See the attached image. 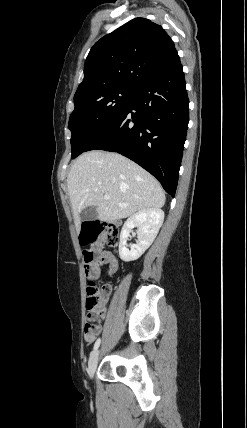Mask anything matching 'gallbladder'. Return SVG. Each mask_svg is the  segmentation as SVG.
Here are the masks:
<instances>
[{
  "label": "gallbladder",
  "mask_w": 247,
  "mask_h": 428,
  "mask_svg": "<svg viewBox=\"0 0 247 428\" xmlns=\"http://www.w3.org/2000/svg\"><path fill=\"white\" fill-rule=\"evenodd\" d=\"M97 217H98L97 209L94 206H88L85 209H83L80 213V218L86 222L95 221Z\"/></svg>",
  "instance_id": "1"
}]
</instances>
